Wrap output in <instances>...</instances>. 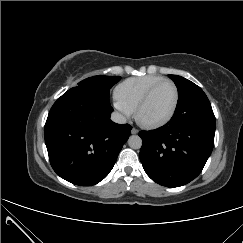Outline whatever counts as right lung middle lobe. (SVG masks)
<instances>
[{
  "label": "right lung middle lobe",
  "mask_w": 243,
  "mask_h": 243,
  "mask_svg": "<svg viewBox=\"0 0 243 243\" xmlns=\"http://www.w3.org/2000/svg\"><path fill=\"white\" fill-rule=\"evenodd\" d=\"M121 79L120 76H93L78 83L71 91H88L109 101V92L114 84Z\"/></svg>",
  "instance_id": "right-lung-middle-lobe-1"
}]
</instances>
